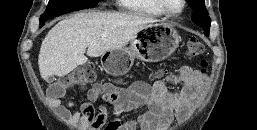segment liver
<instances>
[{
  "label": "liver",
  "mask_w": 257,
  "mask_h": 130,
  "mask_svg": "<svg viewBox=\"0 0 257 130\" xmlns=\"http://www.w3.org/2000/svg\"><path fill=\"white\" fill-rule=\"evenodd\" d=\"M158 20L135 14L81 12L57 23L42 41L38 65L44 80L63 77L107 51L124 48L141 30Z\"/></svg>",
  "instance_id": "obj_1"
}]
</instances>
